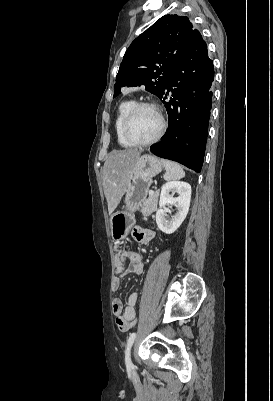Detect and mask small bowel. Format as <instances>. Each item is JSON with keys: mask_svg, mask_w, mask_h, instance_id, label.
<instances>
[{"mask_svg": "<svg viewBox=\"0 0 273 401\" xmlns=\"http://www.w3.org/2000/svg\"><path fill=\"white\" fill-rule=\"evenodd\" d=\"M132 237H142V243L148 244L154 234L152 228H132L130 231ZM127 264V266H126ZM114 269L116 276L113 280V289L118 290L121 287L122 278L127 274H141L143 264L140 255L133 251L122 249L120 246L114 248ZM139 300L138 292L129 294L127 305L124 306L121 299L113 300L112 308L117 327L121 330H128L137 322L136 306Z\"/></svg>", "mask_w": 273, "mask_h": 401, "instance_id": "small-bowel-1", "label": "small bowel"}]
</instances>
